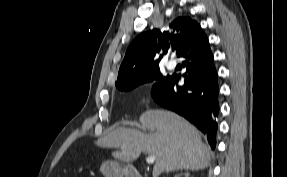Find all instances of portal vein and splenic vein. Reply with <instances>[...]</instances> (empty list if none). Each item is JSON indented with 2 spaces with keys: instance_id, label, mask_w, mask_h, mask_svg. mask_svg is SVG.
<instances>
[{
  "instance_id": "1",
  "label": "portal vein and splenic vein",
  "mask_w": 287,
  "mask_h": 177,
  "mask_svg": "<svg viewBox=\"0 0 287 177\" xmlns=\"http://www.w3.org/2000/svg\"><path fill=\"white\" fill-rule=\"evenodd\" d=\"M156 160V156L154 155H149L147 158H146V162L147 164H153Z\"/></svg>"
}]
</instances>
